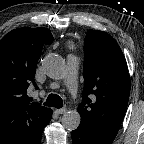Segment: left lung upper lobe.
<instances>
[{"label": "left lung upper lobe", "instance_id": "5c2ea615", "mask_svg": "<svg viewBox=\"0 0 144 144\" xmlns=\"http://www.w3.org/2000/svg\"><path fill=\"white\" fill-rule=\"evenodd\" d=\"M84 91L78 107L80 128L114 140L126 112L130 78L125 57L107 33L89 30L84 43Z\"/></svg>", "mask_w": 144, "mask_h": 144}]
</instances>
